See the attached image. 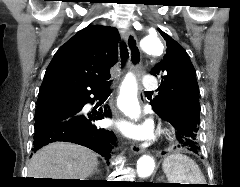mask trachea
I'll return each mask as SVG.
<instances>
[{
  "instance_id": "1",
  "label": "trachea",
  "mask_w": 240,
  "mask_h": 187,
  "mask_svg": "<svg viewBox=\"0 0 240 187\" xmlns=\"http://www.w3.org/2000/svg\"><path fill=\"white\" fill-rule=\"evenodd\" d=\"M120 54H121V58H122V60H121L122 65H124L128 59V55H129L127 47L124 42H122L120 45Z\"/></svg>"
}]
</instances>
